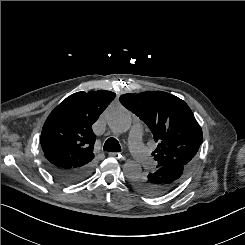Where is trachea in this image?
I'll use <instances>...</instances> for the list:
<instances>
[{"mask_svg":"<svg viewBox=\"0 0 245 245\" xmlns=\"http://www.w3.org/2000/svg\"><path fill=\"white\" fill-rule=\"evenodd\" d=\"M103 149L108 152H120L121 146L115 138L111 137L106 140Z\"/></svg>","mask_w":245,"mask_h":245,"instance_id":"obj_1","label":"trachea"}]
</instances>
